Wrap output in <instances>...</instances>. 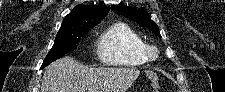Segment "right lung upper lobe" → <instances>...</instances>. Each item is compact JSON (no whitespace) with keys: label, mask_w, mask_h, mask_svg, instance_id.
<instances>
[{"label":"right lung upper lobe","mask_w":225,"mask_h":92,"mask_svg":"<svg viewBox=\"0 0 225 92\" xmlns=\"http://www.w3.org/2000/svg\"><path fill=\"white\" fill-rule=\"evenodd\" d=\"M110 7L97 5H77L62 22L60 29L76 28L83 25L92 24L105 18Z\"/></svg>","instance_id":"1"}]
</instances>
